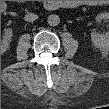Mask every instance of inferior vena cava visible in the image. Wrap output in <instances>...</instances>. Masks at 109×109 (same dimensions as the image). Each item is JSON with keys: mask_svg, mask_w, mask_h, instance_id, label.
<instances>
[{"mask_svg": "<svg viewBox=\"0 0 109 109\" xmlns=\"http://www.w3.org/2000/svg\"><path fill=\"white\" fill-rule=\"evenodd\" d=\"M38 18V16L34 13H28L25 15L24 19L27 22H33Z\"/></svg>", "mask_w": 109, "mask_h": 109, "instance_id": "602c4592", "label": "inferior vena cava"}]
</instances>
